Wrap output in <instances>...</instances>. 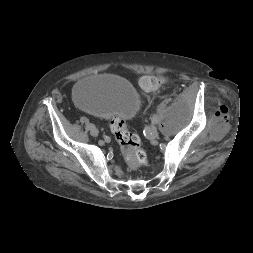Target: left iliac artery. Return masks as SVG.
Wrapping results in <instances>:
<instances>
[{
    "instance_id": "44dca946",
    "label": "left iliac artery",
    "mask_w": 253,
    "mask_h": 253,
    "mask_svg": "<svg viewBox=\"0 0 253 253\" xmlns=\"http://www.w3.org/2000/svg\"><path fill=\"white\" fill-rule=\"evenodd\" d=\"M159 121V118L156 115L152 116V123L157 124Z\"/></svg>"
}]
</instances>
